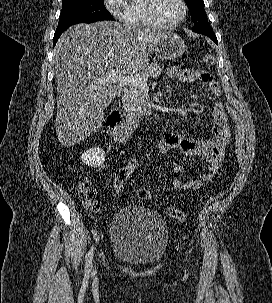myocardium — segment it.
I'll list each match as a JSON object with an SVG mask.
<instances>
[{"mask_svg": "<svg viewBox=\"0 0 272 303\" xmlns=\"http://www.w3.org/2000/svg\"><path fill=\"white\" fill-rule=\"evenodd\" d=\"M178 1L182 8V13H181L180 18L171 24H165L160 21V19L158 18V15H157V5H158L159 0H147V3H146L147 16H148V19L150 20V22L154 25V27L163 29V30H170V29H174V28L178 27L181 23H183V21L185 20V18L187 16V4H186L185 0H178Z\"/></svg>", "mask_w": 272, "mask_h": 303, "instance_id": "1", "label": "myocardium"}]
</instances>
